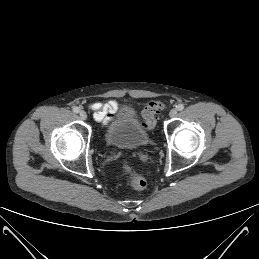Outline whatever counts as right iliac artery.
I'll list each match as a JSON object with an SVG mask.
<instances>
[{
    "label": "right iliac artery",
    "instance_id": "82829eb1",
    "mask_svg": "<svg viewBox=\"0 0 259 259\" xmlns=\"http://www.w3.org/2000/svg\"><path fill=\"white\" fill-rule=\"evenodd\" d=\"M72 110H73L74 113H79V111H80V109L78 107H76V106L73 107Z\"/></svg>",
    "mask_w": 259,
    "mask_h": 259
}]
</instances>
